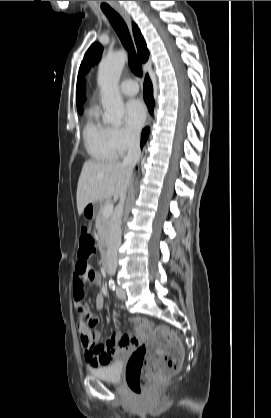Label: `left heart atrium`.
Here are the masks:
<instances>
[{
  "label": "left heart atrium",
  "mask_w": 271,
  "mask_h": 418,
  "mask_svg": "<svg viewBox=\"0 0 271 418\" xmlns=\"http://www.w3.org/2000/svg\"><path fill=\"white\" fill-rule=\"evenodd\" d=\"M146 119V110L143 103L138 99H132L125 106V121L127 126L138 131Z\"/></svg>",
  "instance_id": "left-heart-atrium-1"
}]
</instances>
